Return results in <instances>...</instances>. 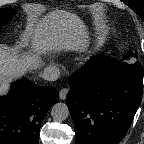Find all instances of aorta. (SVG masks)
Wrapping results in <instances>:
<instances>
[{"label": "aorta", "instance_id": "1", "mask_svg": "<svg viewBox=\"0 0 144 144\" xmlns=\"http://www.w3.org/2000/svg\"><path fill=\"white\" fill-rule=\"evenodd\" d=\"M51 116L55 121L62 122L69 116V109L65 103H56L51 109Z\"/></svg>", "mask_w": 144, "mask_h": 144}]
</instances>
